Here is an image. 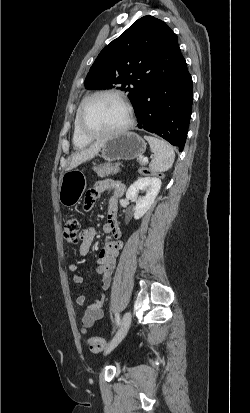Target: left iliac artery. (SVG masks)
I'll list each match as a JSON object with an SVG mask.
<instances>
[{"mask_svg": "<svg viewBox=\"0 0 250 413\" xmlns=\"http://www.w3.org/2000/svg\"><path fill=\"white\" fill-rule=\"evenodd\" d=\"M115 321H116V324L118 326L120 324V316H119L118 313L115 314Z\"/></svg>", "mask_w": 250, "mask_h": 413, "instance_id": "44dca946", "label": "left iliac artery"}]
</instances>
